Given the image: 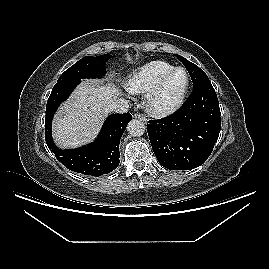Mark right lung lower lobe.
Returning <instances> with one entry per match:
<instances>
[{
    "instance_id": "obj_1",
    "label": "right lung lower lobe",
    "mask_w": 269,
    "mask_h": 269,
    "mask_svg": "<svg viewBox=\"0 0 269 269\" xmlns=\"http://www.w3.org/2000/svg\"><path fill=\"white\" fill-rule=\"evenodd\" d=\"M81 79L68 78L57 81L46 105L45 140L59 162L68 169L84 175L99 177L116 169L119 165V144L127 124L132 120L130 113L112 114L105 121L97 139L84 147L61 150L53 142L51 123L61 102L67 99Z\"/></svg>"
}]
</instances>
